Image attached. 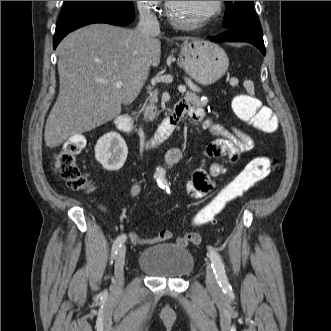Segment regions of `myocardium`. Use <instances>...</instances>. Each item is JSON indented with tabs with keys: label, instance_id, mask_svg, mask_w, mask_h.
<instances>
[{
	"label": "myocardium",
	"instance_id": "myocardium-1",
	"mask_svg": "<svg viewBox=\"0 0 331 331\" xmlns=\"http://www.w3.org/2000/svg\"><path fill=\"white\" fill-rule=\"evenodd\" d=\"M222 10H223V1H214V8L210 13L206 14L205 16L199 18L196 21H193L191 23H186V22L179 21L178 19H176L174 17V15L172 13V2L167 1L165 14H166L168 20L173 25H175L177 27H181V28H187V27H200V26L214 20L215 18L220 16V14L222 13Z\"/></svg>",
	"mask_w": 331,
	"mask_h": 331
}]
</instances>
